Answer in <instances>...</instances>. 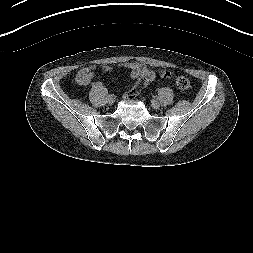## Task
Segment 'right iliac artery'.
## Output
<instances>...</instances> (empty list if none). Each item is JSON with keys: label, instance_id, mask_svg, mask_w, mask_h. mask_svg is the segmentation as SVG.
<instances>
[{"label": "right iliac artery", "instance_id": "right-iliac-artery-1", "mask_svg": "<svg viewBox=\"0 0 253 253\" xmlns=\"http://www.w3.org/2000/svg\"><path fill=\"white\" fill-rule=\"evenodd\" d=\"M110 97H113V95H112V94H109V95H108V98H110Z\"/></svg>", "mask_w": 253, "mask_h": 253}]
</instances>
